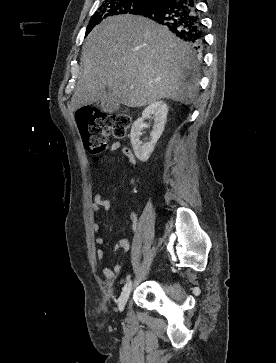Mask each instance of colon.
<instances>
[{
	"label": "colon",
	"instance_id": "1",
	"mask_svg": "<svg viewBox=\"0 0 276 363\" xmlns=\"http://www.w3.org/2000/svg\"><path fill=\"white\" fill-rule=\"evenodd\" d=\"M76 120L86 150L93 154L103 152L107 147L108 136L123 138L130 124L124 113L99 112L91 108H80Z\"/></svg>",
	"mask_w": 276,
	"mask_h": 363
}]
</instances>
